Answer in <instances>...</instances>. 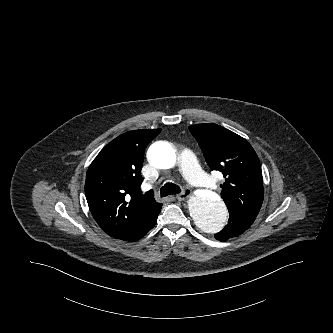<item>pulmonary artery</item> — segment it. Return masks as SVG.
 <instances>
[{"label": "pulmonary artery", "mask_w": 333, "mask_h": 333, "mask_svg": "<svg viewBox=\"0 0 333 333\" xmlns=\"http://www.w3.org/2000/svg\"><path fill=\"white\" fill-rule=\"evenodd\" d=\"M178 163L183 176L193 186L207 190L216 189L215 182L202 171L196 157L190 150H183L180 153Z\"/></svg>", "instance_id": "pulmonary-artery-1"}]
</instances>
